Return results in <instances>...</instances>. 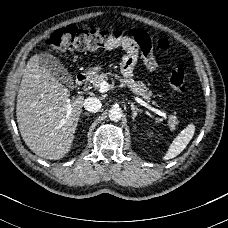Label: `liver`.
<instances>
[{
	"instance_id": "liver-1",
	"label": "liver",
	"mask_w": 228,
	"mask_h": 228,
	"mask_svg": "<svg viewBox=\"0 0 228 228\" xmlns=\"http://www.w3.org/2000/svg\"><path fill=\"white\" fill-rule=\"evenodd\" d=\"M83 106L84 97L70 99V91L39 65V55L30 58L16 105L18 128L30 150L50 160L63 158L70 151Z\"/></svg>"
}]
</instances>
